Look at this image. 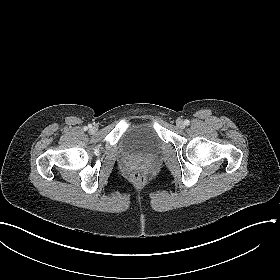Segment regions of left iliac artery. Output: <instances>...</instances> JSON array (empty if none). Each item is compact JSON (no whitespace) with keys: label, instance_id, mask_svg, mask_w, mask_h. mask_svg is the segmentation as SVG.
<instances>
[{"label":"left iliac artery","instance_id":"44dca946","mask_svg":"<svg viewBox=\"0 0 280 280\" xmlns=\"http://www.w3.org/2000/svg\"><path fill=\"white\" fill-rule=\"evenodd\" d=\"M190 124V121L188 119L184 120V125L188 126Z\"/></svg>","mask_w":280,"mask_h":280}]
</instances>
